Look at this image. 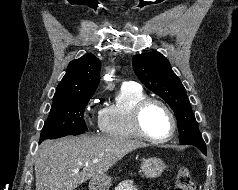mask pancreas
I'll return each instance as SVG.
<instances>
[{
    "instance_id": "1",
    "label": "pancreas",
    "mask_w": 238,
    "mask_h": 190,
    "mask_svg": "<svg viewBox=\"0 0 238 190\" xmlns=\"http://www.w3.org/2000/svg\"><path fill=\"white\" fill-rule=\"evenodd\" d=\"M114 190H138L137 187L134 185L132 180H125L120 182Z\"/></svg>"
}]
</instances>
